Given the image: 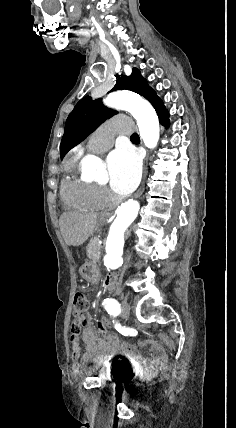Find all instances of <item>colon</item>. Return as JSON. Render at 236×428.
I'll use <instances>...</instances> for the list:
<instances>
[{
    "mask_svg": "<svg viewBox=\"0 0 236 428\" xmlns=\"http://www.w3.org/2000/svg\"><path fill=\"white\" fill-rule=\"evenodd\" d=\"M88 307V289L85 286H81L75 294L73 301V313L74 318L71 326V335L76 336L80 333V330L84 324V312ZM98 324L102 327L111 326L112 323L106 319L101 318ZM158 338L172 351H175V343L166 334L159 333Z\"/></svg>",
    "mask_w": 236,
    "mask_h": 428,
    "instance_id": "colon-1",
    "label": "colon"
}]
</instances>
